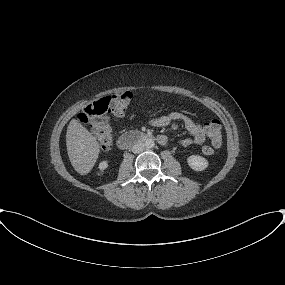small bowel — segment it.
Segmentation results:
<instances>
[{
  "label": "small bowel",
  "instance_id": "obj_1",
  "mask_svg": "<svg viewBox=\"0 0 285 285\" xmlns=\"http://www.w3.org/2000/svg\"><path fill=\"white\" fill-rule=\"evenodd\" d=\"M174 121L183 122L185 129L189 134L187 138L182 140L181 144L183 146L201 145L204 143L207 136L205 127L180 112H171L169 114L154 118L151 120V124L157 127H165ZM160 137L165 139L164 136Z\"/></svg>",
  "mask_w": 285,
  "mask_h": 285
}]
</instances>
